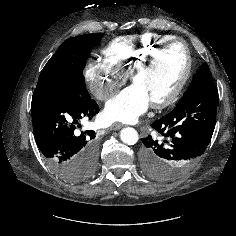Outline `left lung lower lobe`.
<instances>
[{"label": "left lung lower lobe", "mask_w": 236, "mask_h": 236, "mask_svg": "<svg viewBox=\"0 0 236 236\" xmlns=\"http://www.w3.org/2000/svg\"><path fill=\"white\" fill-rule=\"evenodd\" d=\"M218 91L208 81L183 97L167 115L152 123L164 140L142 138L143 172L157 180L173 179L202 156L216 124Z\"/></svg>", "instance_id": "0a47b994"}]
</instances>
